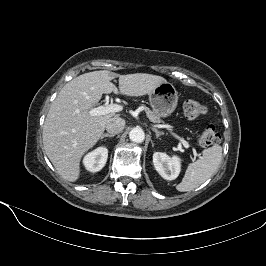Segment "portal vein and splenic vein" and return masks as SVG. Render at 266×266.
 <instances>
[{
	"instance_id": "18ae733b",
	"label": "portal vein and splenic vein",
	"mask_w": 266,
	"mask_h": 266,
	"mask_svg": "<svg viewBox=\"0 0 266 266\" xmlns=\"http://www.w3.org/2000/svg\"><path fill=\"white\" fill-rule=\"evenodd\" d=\"M123 110V106L120 105V104H109L107 106L105 105H101L99 107H96V108H92L90 111H89V114L91 116H98V115H106V114H109V113H115V112H120ZM168 129V127H166ZM172 135L177 138L181 144H183V146L185 148H189L190 145L188 144V142H186L183 138H181L180 136H178L177 134L175 133H172ZM195 155L197 156V153L195 152Z\"/></svg>"
}]
</instances>
